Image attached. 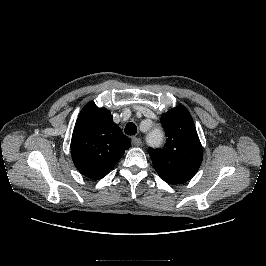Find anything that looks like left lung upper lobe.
I'll return each mask as SVG.
<instances>
[{
  "label": "left lung upper lobe",
  "mask_w": 266,
  "mask_h": 266,
  "mask_svg": "<svg viewBox=\"0 0 266 266\" xmlns=\"http://www.w3.org/2000/svg\"><path fill=\"white\" fill-rule=\"evenodd\" d=\"M167 141L163 148H149L153 166L169 184L190 180L198 171L203 150L189 111L179 105L161 117Z\"/></svg>",
  "instance_id": "left-lung-upper-lobe-1"
}]
</instances>
